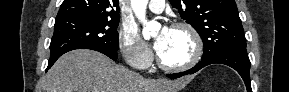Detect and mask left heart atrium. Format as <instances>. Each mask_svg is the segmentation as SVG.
I'll return each mask as SVG.
<instances>
[{
	"label": "left heart atrium",
	"mask_w": 289,
	"mask_h": 92,
	"mask_svg": "<svg viewBox=\"0 0 289 92\" xmlns=\"http://www.w3.org/2000/svg\"><path fill=\"white\" fill-rule=\"evenodd\" d=\"M170 30H171L170 28L164 26L162 30L159 32L158 36L156 37L154 42V48L158 54H160L163 51L170 34Z\"/></svg>",
	"instance_id": "39dd6f15"
}]
</instances>
